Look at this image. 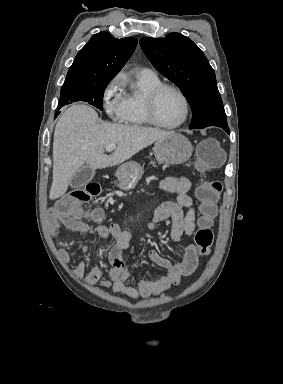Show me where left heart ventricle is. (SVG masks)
<instances>
[{"label": "left heart ventricle", "instance_id": "1", "mask_svg": "<svg viewBox=\"0 0 283 384\" xmlns=\"http://www.w3.org/2000/svg\"><path fill=\"white\" fill-rule=\"evenodd\" d=\"M154 113L161 124H176L182 119L184 114L183 102L176 93L165 90L156 100Z\"/></svg>", "mask_w": 283, "mask_h": 384}]
</instances>
